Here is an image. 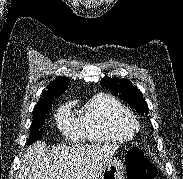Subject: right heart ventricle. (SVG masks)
<instances>
[{
  "label": "right heart ventricle",
  "instance_id": "obj_1",
  "mask_svg": "<svg viewBox=\"0 0 183 179\" xmlns=\"http://www.w3.org/2000/svg\"><path fill=\"white\" fill-rule=\"evenodd\" d=\"M131 115L129 109L108 93L93 95L84 105L79 118L80 129L91 142H122L134 132L125 125Z\"/></svg>",
  "mask_w": 183,
  "mask_h": 179
}]
</instances>
